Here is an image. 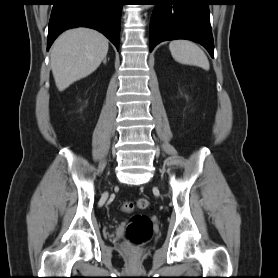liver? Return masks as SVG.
Returning <instances> with one entry per match:
<instances>
[{
    "mask_svg": "<svg viewBox=\"0 0 278 278\" xmlns=\"http://www.w3.org/2000/svg\"><path fill=\"white\" fill-rule=\"evenodd\" d=\"M108 39L100 32L79 27L62 33L51 51V69L56 86L64 91L94 72L108 52Z\"/></svg>",
    "mask_w": 278,
    "mask_h": 278,
    "instance_id": "liver-1",
    "label": "liver"
}]
</instances>
